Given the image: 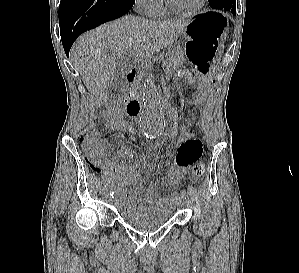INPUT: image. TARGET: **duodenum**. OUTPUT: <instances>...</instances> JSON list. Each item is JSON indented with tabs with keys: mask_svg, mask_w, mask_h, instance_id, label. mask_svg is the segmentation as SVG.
<instances>
[{
	"mask_svg": "<svg viewBox=\"0 0 299 273\" xmlns=\"http://www.w3.org/2000/svg\"><path fill=\"white\" fill-rule=\"evenodd\" d=\"M136 77V69H132L128 74V83H129V90L123 98V106L125 108L126 113L131 117H138L141 112V102L136 97L134 90H133V83ZM167 109L166 107H164Z\"/></svg>",
	"mask_w": 299,
	"mask_h": 273,
	"instance_id": "410a0bca",
	"label": "duodenum"
}]
</instances>
